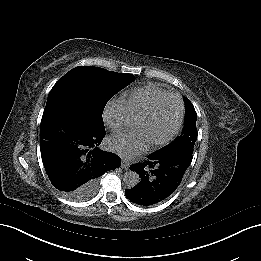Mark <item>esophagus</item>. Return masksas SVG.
<instances>
[{"label":"esophagus","mask_w":261,"mask_h":261,"mask_svg":"<svg viewBox=\"0 0 261 261\" xmlns=\"http://www.w3.org/2000/svg\"><path fill=\"white\" fill-rule=\"evenodd\" d=\"M128 166H129V163L127 161L123 160L121 167L127 169Z\"/></svg>","instance_id":"obj_1"}]
</instances>
